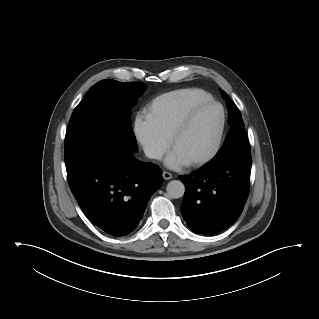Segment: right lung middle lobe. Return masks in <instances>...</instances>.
I'll return each instance as SVG.
<instances>
[{"mask_svg": "<svg viewBox=\"0 0 319 319\" xmlns=\"http://www.w3.org/2000/svg\"><path fill=\"white\" fill-rule=\"evenodd\" d=\"M145 83L102 80L92 86L72 113L65 136V164L70 174L101 144L124 140L136 148L134 133H125L129 116Z\"/></svg>", "mask_w": 319, "mask_h": 319, "instance_id": "dd1d6c3e", "label": "right lung middle lobe"}]
</instances>
